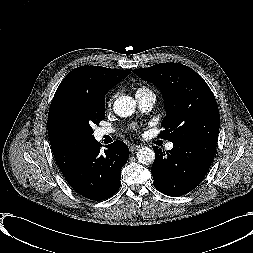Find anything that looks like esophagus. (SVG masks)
Listing matches in <instances>:
<instances>
[{
    "label": "esophagus",
    "instance_id": "34e87169",
    "mask_svg": "<svg viewBox=\"0 0 253 253\" xmlns=\"http://www.w3.org/2000/svg\"><path fill=\"white\" fill-rule=\"evenodd\" d=\"M139 148H140L139 145L133 144V145L130 146V151L133 153V152H135L136 150H138Z\"/></svg>",
    "mask_w": 253,
    "mask_h": 253
}]
</instances>
